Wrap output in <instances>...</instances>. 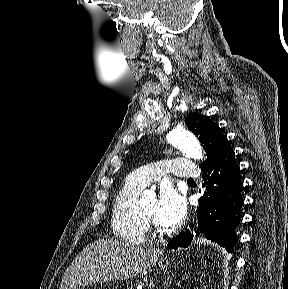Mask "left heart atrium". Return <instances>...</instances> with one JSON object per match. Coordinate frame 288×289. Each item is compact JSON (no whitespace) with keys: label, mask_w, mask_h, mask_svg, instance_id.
Instances as JSON below:
<instances>
[{"label":"left heart atrium","mask_w":288,"mask_h":289,"mask_svg":"<svg viewBox=\"0 0 288 289\" xmlns=\"http://www.w3.org/2000/svg\"><path fill=\"white\" fill-rule=\"evenodd\" d=\"M186 212L184 198L172 187H162L157 201L155 221L162 227H177Z\"/></svg>","instance_id":"1"}]
</instances>
